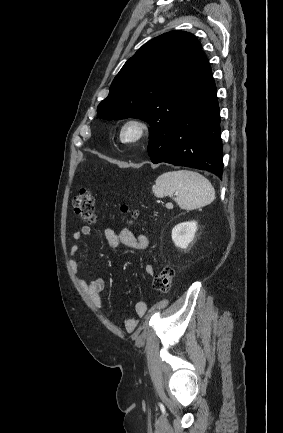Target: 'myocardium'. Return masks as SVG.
Here are the masks:
<instances>
[{"instance_id": "1", "label": "myocardium", "mask_w": 283, "mask_h": 433, "mask_svg": "<svg viewBox=\"0 0 283 433\" xmlns=\"http://www.w3.org/2000/svg\"><path fill=\"white\" fill-rule=\"evenodd\" d=\"M128 129H134V134L125 137L124 133ZM151 132V123L141 117H131L126 119L118 129V139L125 145H136L146 140Z\"/></svg>"}]
</instances>
